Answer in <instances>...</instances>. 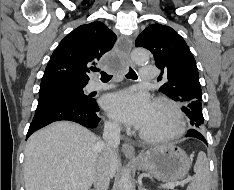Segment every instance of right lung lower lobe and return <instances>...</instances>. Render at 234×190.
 Masks as SVG:
<instances>
[{
	"label": "right lung lower lobe",
	"instance_id": "obj_1",
	"mask_svg": "<svg viewBox=\"0 0 234 190\" xmlns=\"http://www.w3.org/2000/svg\"><path fill=\"white\" fill-rule=\"evenodd\" d=\"M80 84L86 85L87 83ZM90 100L92 102L86 104L77 98L54 96L39 103L26 139L36 130L60 120L74 121L89 128L97 127L100 121L97 116L99 107L95 99L90 98Z\"/></svg>",
	"mask_w": 234,
	"mask_h": 190
}]
</instances>
